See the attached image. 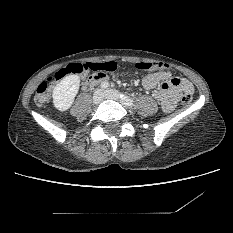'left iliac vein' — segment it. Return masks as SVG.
Returning a JSON list of instances; mask_svg holds the SVG:
<instances>
[{
  "mask_svg": "<svg viewBox=\"0 0 233 233\" xmlns=\"http://www.w3.org/2000/svg\"><path fill=\"white\" fill-rule=\"evenodd\" d=\"M104 97L107 98V99H112V100H115V101H119L120 100V94L118 91L116 90H106L104 92Z\"/></svg>",
  "mask_w": 233,
  "mask_h": 233,
  "instance_id": "left-iliac-vein-1",
  "label": "left iliac vein"
}]
</instances>
